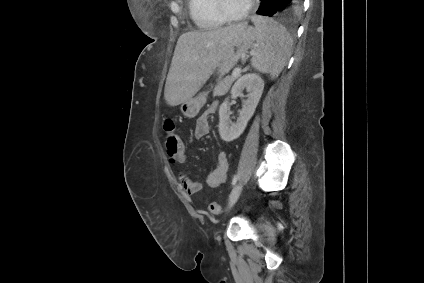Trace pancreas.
Instances as JSON below:
<instances>
[{
  "label": "pancreas",
  "mask_w": 424,
  "mask_h": 283,
  "mask_svg": "<svg viewBox=\"0 0 424 283\" xmlns=\"http://www.w3.org/2000/svg\"><path fill=\"white\" fill-rule=\"evenodd\" d=\"M237 77L231 75L220 80L213 90V96H223L231 87Z\"/></svg>",
  "instance_id": "cf45deb5"
}]
</instances>
